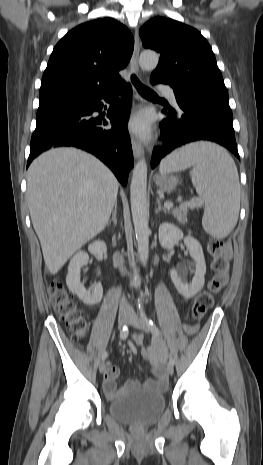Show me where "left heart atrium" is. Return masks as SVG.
Segmentation results:
<instances>
[{"mask_svg":"<svg viewBox=\"0 0 263 465\" xmlns=\"http://www.w3.org/2000/svg\"><path fill=\"white\" fill-rule=\"evenodd\" d=\"M128 128L137 136L148 138L151 130L150 120L144 113L137 114L129 121Z\"/></svg>","mask_w":263,"mask_h":465,"instance_id":"left-heart-atrium-1","label":"left heart atrium"}]
</instances>
